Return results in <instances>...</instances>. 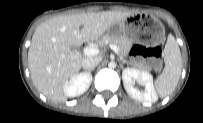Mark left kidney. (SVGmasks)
Masks as SVG:
<instances>
[{
	"instance_id": "obj_1",
	"label": "left kidney",
	"mask_w": 203,
	"mask_h": 123,
	"mask_svg": "<svg viewBox=\"0 0 203 123\" xmlns=\"http://www.w3.org/2000/svg\"><path fill=\"white\" fill-rule=\"evenodd\" d=\"M123 85L128 95L138 101L154 103L158 100L153 85V77L149 72L135 68H125L122 72ZM135 81L145 87L144 91L134 87Z\"/></svg>"
}]
</instances>
